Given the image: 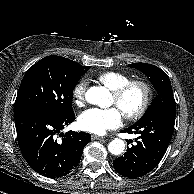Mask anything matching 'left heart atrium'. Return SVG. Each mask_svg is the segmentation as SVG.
Listing matches in <instances>:
<instances>
[{"instance_id":"left-heart-atrium-1","label":"left heart atrium","mask_w":194,"mask_h":194,"mask_svg":"<svg viewBox=\"0 0 194 194\" xmlns=\"http://www.w3.org/2000/svg\"><path fill=\"white\" fill-rule=\"evenodd\" d=\"M122 123V113L118 108H91L78 118L79 127L87 132L103 134L109 129L117 128Z\"/></svg>"}]
</instances>
